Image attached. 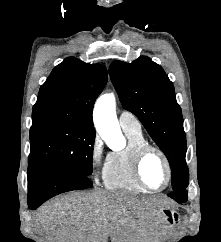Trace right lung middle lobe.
<instances>
[{
	"mask_svg": "<svg viewBox=\"0 0 221 242\" xmlns=\"http://www.w3.org/2000/svg\"><path fill=\"white\" fill-rule=\"evenodd\" d=\"M95 130L76 124H45L30 128L28 171L57 169L89 176Z\"/></svg>",
	"mask_w": 221,
	"mask_h": 242,
	"instance_id": "right-lung-middle-lobe-1",
	"label": "right lung middle lobe"
}]
</instances>
